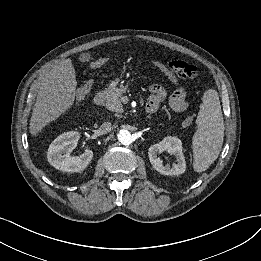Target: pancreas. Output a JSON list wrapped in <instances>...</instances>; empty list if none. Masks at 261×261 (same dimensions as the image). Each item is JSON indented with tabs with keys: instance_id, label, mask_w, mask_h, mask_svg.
<instances>
[{
	"instance_id": "obj_1",
	"label": "pancreas",
	"mask_w": 261,
	"mask_h": 261,
	"mask_svg": "<svg viewBox=\"0 0 261 261\" xmlns=\"http://www.w3.org/2000/svg\"><path fill=\"white\" fill-rule=\"evenodd\" d=\"M125 90L123 88H116L115 86H109L105 90V106L113 112L122 113L123 105L121 102V98L124 94Z\"/></svg>"
}]
</instances>
